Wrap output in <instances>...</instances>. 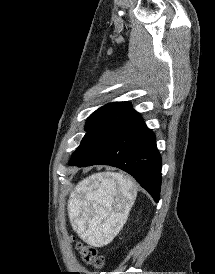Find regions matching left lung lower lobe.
<instances>
[{
    "mask_svg": "<svg viewBox=\"0 0 215 274\" xmlns=\"http://www.w3.org/2000/svg\"><path fill=\"white\" fill-rule=\"evenodd\" d=\"M161 156L155 135L139 114L116 128L92 152L70 166L96 164L118 167L132 175L156 202L160 198Z\"/></svg>",
    "mask_w": 215,
    "mask_h": 274,
    "instance_id": "left-lung-lower-lobe-1",
    "label": "left lung lower lobe"
}]
</instances>
